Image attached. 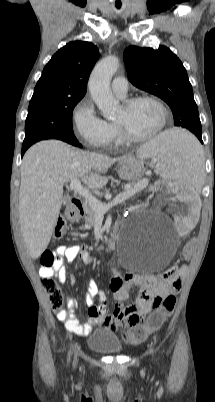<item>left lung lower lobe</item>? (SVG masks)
I'll return each mask as SVG.
<instances>
[{
	"mask_svg": "<svg viewBox=\"0 0 215 402\" xmlns=\"http://www.w3.org/2000/svg\"><path fill=\"white\" fill-rule=\"evenodd\" d=\"M198 139L201 141V143H203V141H202V136H201V137H198Z\"/></svg>",
	"mask_w": 215,
	"mask_h": 402,
	"instance_id": "1",
	"label": "left lung lower lobe"
}]
</instances>
